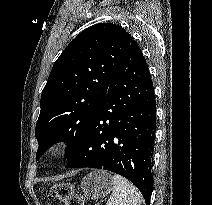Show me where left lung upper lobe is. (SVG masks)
Segmentation results:
<instances>
[{
	"label": "left lung upper lobe",
	"mask_w": 212,
	"mask_h": 205,
	"mask_svg": "<svg viewBox=\"0 0 212 205\" xmlns=\"http://www.w3.org/2000/svg\"><path fill=\"white\" fill-rule=\"evenodd\" d=\"M132 41L121 26L100 23L82 31L65 48L42 91L36 159L59 141L68 144L65 158L77 153Z\"/></svg>",
	"instance_id": "left-lung-upper-lobe-1"
}]
</instances>
